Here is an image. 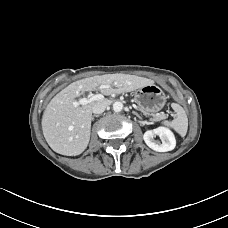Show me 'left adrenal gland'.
Wrapping results in <instances>:
<instances>
[{
	"mask_svg": "<svg viewBox=\"0 0 228 228\" xmlns=\"http://www.w3.org/2000/svg\"><path fill=\"white\" fill-rule=\"evenodd\" d=\"M134 115H136L137 117H140L139 114L135 111L132 112Z\"/></svg>",
	"mask_w": 228,
	"mask_h": 228,
	"instance_id": "left-adrenal-gland-1",
	"label": "left adrenal gland"
}]
</instances>
